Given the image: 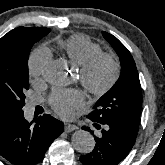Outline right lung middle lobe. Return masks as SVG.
<instances>
[{
    "label": "right lung middle lobe",
    "mask_w": 165,
    "mask_h": 165,
    "mask_svg": "<svg viewBox=\"0 0 165 165\" xmlns=\"http://www.w3.org/2000/svg\"><path fill=\"white\" fill-rule=\"evenodd\" d=\"M50 30L22 28L0 39V118L23 112L29 89L28 58L33 44Z\"/></svg>",
    "instance_id": "1"
}]
</instances>
